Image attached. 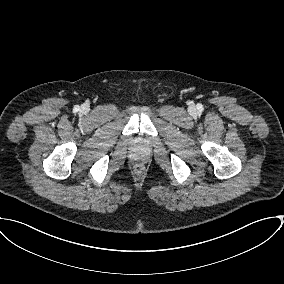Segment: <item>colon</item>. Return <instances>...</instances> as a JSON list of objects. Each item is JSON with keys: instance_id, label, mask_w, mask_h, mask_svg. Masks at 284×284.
<instances>
[{"instance_id": "5ec220e1", "label": "colon", "mask_w": 284, "mask_h": 284, "mask_svg": "<svg viewBox=\"0 0 284 284\" xmlns=\"http://www.w3.org/2000/svg\"><path fill=\"white\" fill-rule=\"evenodd\" d=\"M141 170H142V166H141V165H137V166H136V171H137V172H140Z\"/></svg>"}]
</instances>
